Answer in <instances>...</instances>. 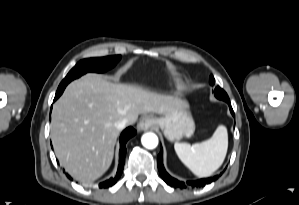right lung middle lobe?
I'll use <instances>...</instances> for the list:
<instances>
[{
  "instance_id": "dd1d6c3e",
  "label": "right lung middle lobe",
  "mask_w": 299,
  "mask_h": 205,
  "mask_svg": "<svg viewBox=\"0 0 299 205\" xmlns=\"http://www.w3.org/2000/svg\"><path fill=\"white\" fill-rule=\"evenodd\" d=\"M120 59L121 55H115L102 58H89L79 61L60 83L56 96H59V94L65 89L66 85L72 80L87 72H105L106 70L114 67Z\"/></svg>"
}]
</instances>
